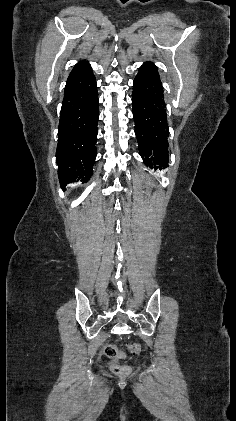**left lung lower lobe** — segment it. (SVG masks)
Listing matches in <instances>:
<instances>
[{
	"label": "left lung lower lobe",
	"instance_id": "left-lung-lower-lobe-1",
	"mask_svg": "<svg viewBox=\"0 0 236 421\" xmlns=\"http://www.w3.org/2000/svg\"><path fill=\"white\" fill-rule=\"evenodd\" d=\"M132 104L135 134L144 164L154 170L166 168L169 136L166 104L158 69L152 62H145L134 79Z\"/></svg>",
	"mask_w": 236,
	"mask_h": 421
}]
</instances>
